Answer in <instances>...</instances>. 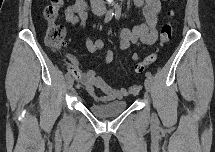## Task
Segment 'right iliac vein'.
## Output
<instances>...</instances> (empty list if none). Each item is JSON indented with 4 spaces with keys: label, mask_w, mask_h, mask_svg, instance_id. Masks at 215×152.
<instances>
[{
    "label": "right iliac vein",
    "mask_w": 215,
    "mask_h": 152,
    "mask_svg": "<svg viewBox=\"0 0 215 152\" xmlns=\"http://www.w3.org/2000/svg\"><path fill=\"white\" fill-rule=\"evenodd\" d=\"M73 84H74L73 78L69 77V78L67 79V88H68L69 90H71V89L73 88Z\"/></svg>",
    "instance_id": "obj_1"
}]
</instances>
